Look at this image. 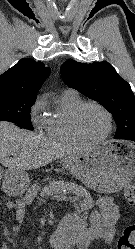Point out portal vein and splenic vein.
<instances>
[{
  "instance_id": "portal-vein-and-splenic-vein-1",
  "label": "portal vein and splenic vein",
  "mask_w": 135,
  "mask_h": 249,
  "mask_svg": "<svg viewBox=\"0 0 135 249\" xmlns=\"http://www.w3.org/2000/svg\"><path fill=\"white\" fill-rule=\"evenodd\" d=\"M57 199H68L72 202H76V201H79L80 200V197L78 196H71V197H57Z\"/></svg>"
}]
</instances>
